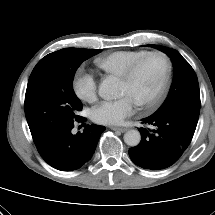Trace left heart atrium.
<instances>
[{"instance_id": "left-heart-atrium-1", "label": "left heart atrium", "mask_w": 215, "mask_h": 215, "mask_svg": "<svg viewBox=\"0 0 215 215\" xmlns=\"http://www.w3.org/2000/svg\"><path fill=\"white\" fill-rule=\"evenodd\" d=\"M135 106L136 102L129 95H122L97 105L92 110V119L98 124L118 125L133 114Z\"/></svg>"}]
</instances>
